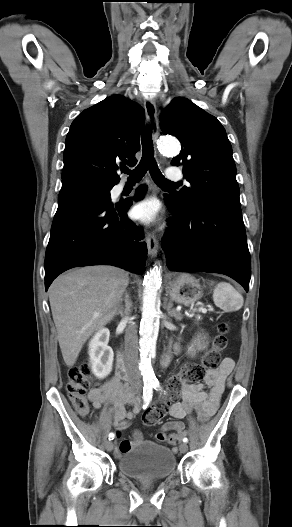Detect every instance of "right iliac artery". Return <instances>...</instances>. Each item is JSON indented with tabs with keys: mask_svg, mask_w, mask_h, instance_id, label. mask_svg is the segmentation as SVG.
Masks as SVG:
<instances>
[{
	"mask_svg": "<svg viewBox=\"0 0 292 527\" xmlns=\"http://www.w3.org/2000/svg\"><path fill=\"white\" fill-rule=\"evenodd\" d=\"M153 385L152 384H146L143 388V407H147V405L152 400V394H153ZM115 437V434L113 432L109 433V440H113Z\"/></svg>",
	"mask_w": 292,
	"mask_h": 527,
	"instance_id": "82829eb1",
	"label": "right iliac artery"
}]
</instances>
